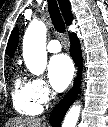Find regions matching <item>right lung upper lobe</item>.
<instances>
[{
	"label": "right lung upper lobe",
	"mask_w": 108,
	"mask_h": 127,
	"mask_svg": "<svg viewBox=\"0 0 108 127\" xmlns=\"http://www.w3.org/2000/svg\"><path fill=\"white\" fill-rule=\"evenodd\" d=\"M61 11L63 13L64 19L68 24H71L72 21V13H71V6L70 2L68 0H58ZM19 39V30L16 27L10 36L7 48H6V54H8L10 57L13 56Z\"/></svg>",
	"instance_id": "obj_1"
}]
</instances>
